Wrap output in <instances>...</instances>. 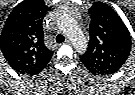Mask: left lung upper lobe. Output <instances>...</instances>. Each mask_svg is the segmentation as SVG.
Returning <instances> with one entry per match:
<instances>
[{
  "instance_id": "obj_1",
  "label": "left lung upper lobe",
  "mask_w": 135,
  "mask_h": 95,
  "mask_svg": "<svg viewBox=\"0 0 135 95\" xmlns=\"http://www.w3.org/2000/svg\"><path fill=\"white\" fill-rule=\"evenodd\" d=\"M87 51L80 56L88 70L94 73L116 71L131 50V37L123 22L106 8L92 7Z\"/></svg>"
}]
</instances>
